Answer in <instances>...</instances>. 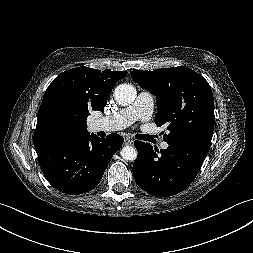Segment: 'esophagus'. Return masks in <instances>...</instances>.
<instances>
[{
    "label": "esophagus",
    "instance_id": "34e87169",
    "mask_svg": "<svg viewBox=\"0 0 253 253\" xmlns=\"http://www.w3.org/2000/svg\"><path fill=\"white\" fill-rule=\"evenodd\" d=\"M124 144L125 145H132L133 144V139L128 138V137L124 138Z\"/></svg>",
    "mask_w": 253,
    "mask_h": 253
}]
</instances>
